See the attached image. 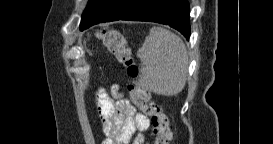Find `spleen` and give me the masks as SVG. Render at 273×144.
<instances>
[{
	"instance_id": "1",
	"label": "spleen",
	"mask_w": 273,
	"mask_h": 144,
	"mask_svg": "<svg viewBox=\"0 0 273 144\" xmlns=\"http://www.w3.org/2000/svg\"><path fill=\"white\" fill-rule=\"evenodd\" d=\"M140 83L158 95L180 93L186 83L188 54L182 39L173 32L152 27L142 47Z\"/></svg>"
}]
</instances>
